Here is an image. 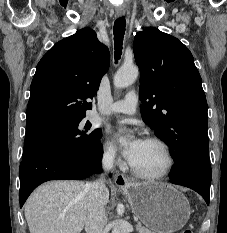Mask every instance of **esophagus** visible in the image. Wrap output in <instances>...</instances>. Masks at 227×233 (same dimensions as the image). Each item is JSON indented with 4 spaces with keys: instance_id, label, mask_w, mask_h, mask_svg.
<instances>
[{
    "instance_id": "obj_1",
    "label": "esophagus",
    "mask_w": 227,
    "mask_h": 233,
    "mask_svg": "<svg viewBox=\"0 0 227 233\" xmlns=\"http://www.w3.org/2000/svg\"><path fill=\"white\" fill-rule=\"evenodd\" d=\"M125 14V10L124 9H117L116 10V15L118 17H121ZM115 183L117 186L119 187H127L131 184V182L121 173H118L115 176Z\"/></svg>"
}]
</instances>
